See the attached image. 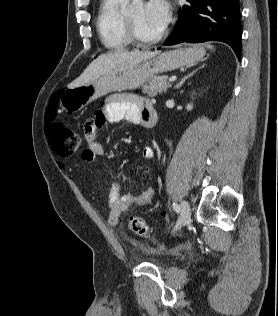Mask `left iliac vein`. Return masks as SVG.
Instances as JSON below:
<instances>
[{
	"label": "left iliac vein",
	"instance_id": "left-iliac-vein-1",
	"mask_svg": "<svg viewBox=\"0 0 278 316\" xmlns=\"http://www.w3.org/2000/svg\"><path fill=\"white\" fill-rule=\"evenodd\" d=\"M181 212L178 223L176 224L174 230H179L190 220V206L187 201L182 200L180 203Z\"/></svg>",
	"mask_w": 278,
	"mask_h": 316
}]
</instances>
